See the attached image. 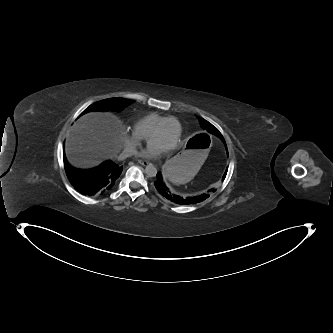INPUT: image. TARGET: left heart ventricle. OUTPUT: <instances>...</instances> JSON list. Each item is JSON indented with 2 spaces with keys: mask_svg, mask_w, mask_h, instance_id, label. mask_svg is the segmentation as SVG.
Returning a JSON list of instances; mask_svg holds the SVG:
<instances>
[{
  "mask_svg": "<svg viewBox=\"0 0 333 333\" xmlns=\"http://www.w3.org/2000/svg\"><path fill=\"white\" fill-rule=\"evenodd\" d=\"M177 134V124L174 121H169L162 131L152 139L151 143L166 150L176 140Z\"/></svg>",
  "mask_w": 333,
  "mask_h": 333,
  "instance_id": "obj_1",
  "label": "left heart ventricle"
}]
</instances>
